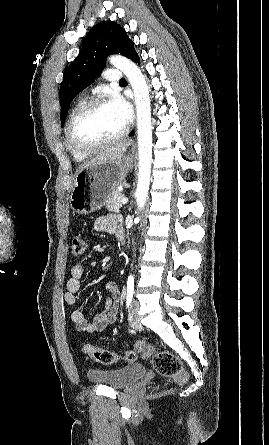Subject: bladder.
<instances>
[{
    "label": "bladder",
    "instance_id": "1",
    "mask_svg": "<svg viewBox=\"0 0 269 445\" xmlns=\"http://www.w3.org/2000/svg\"><path fill=\"white\" fill-rule=\"evenodd\" d=\"M145 373V366L136 363L116 369H91L87 377L92 383L123 389L137 382Z\"/></svg>",
    "mask_w": 269,
    "mask_h": 445
}]
</instances>
